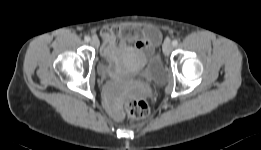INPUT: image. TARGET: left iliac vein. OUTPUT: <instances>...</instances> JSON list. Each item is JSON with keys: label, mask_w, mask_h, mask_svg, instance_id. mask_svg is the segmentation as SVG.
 <instances>
[{"label": "left iliac vein", "mask_w": 261, "mask_h": 150, "mask_svg": "<svg viewBox=\"0 0 261 150\" xmlns=\"http://www.w3.org/2000/svg\"><path fill=\"white\" fill-rule=\"evenodd\" d=\"M173 45L170 41H165L163 44V53L168 56L172 51Z\"/></svg>", "instance_id": "4c4485c4"}]
</instances>
